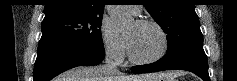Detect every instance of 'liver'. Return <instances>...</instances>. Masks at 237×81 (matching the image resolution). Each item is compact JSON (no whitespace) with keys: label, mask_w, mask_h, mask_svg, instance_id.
<instances>
[{"label":"liver","mask_w":237,"mask_h":81,"mask_svg":"<svg viewBox=\"0 0 237 81\" xmlns=\"http://www.w3.org/2000/svg\"><path fill=\"white\" fill-rule=\"evenodd\" d=\"M159 75H123L109 74L105 70V65H97L91 67L79 66L70 69L60 75L57 81H152L157 79Z\"/></svg>","instance_id":"obj_1"}]
</instances>
